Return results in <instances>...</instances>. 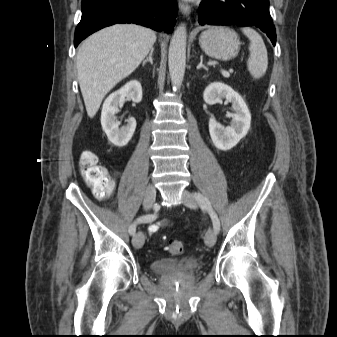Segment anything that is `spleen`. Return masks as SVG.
<instances>
[{
    "label": "spleen",
    "mask_w": 337,
    "mask_h": 337,
    "mask_svg": "<svg viewBox=\"0 0 337 337\" xmlns=\"http://www.w3.org/2000/svg\"><path fill=\"white\" fill-rule=\"evenodd\" d=\"M242 32L250 41L249 58L247 60V68L251 76L259 79L265 75L268 67L267 49L262 37L254 29L249 27L242 28Z\"/></svg>",
    "instance_id": "3e777b00"
}]
</instances>
